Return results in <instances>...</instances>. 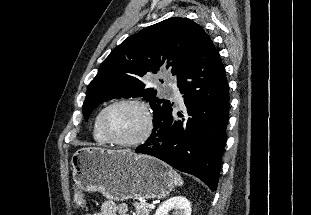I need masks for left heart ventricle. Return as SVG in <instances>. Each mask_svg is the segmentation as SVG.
I'll return each instance as SVG.
<instances>
[{"mask_svg": "<svg viewBox=\"0 0 311 215\" xmlns=\"http://www.w3.org/2000/svg\"><path fill=\"white\" fill-rule=\"evenodd\" d=\"M144 112L135 105L123 104L113 107L106 115L107 131L120 140H133L139 137L145 129Z\"/></svg>", "mask_w": 311, "mask_h": 215, "instance_id": "obj_1", "label": "left heart ventricle"}]
</instances>
